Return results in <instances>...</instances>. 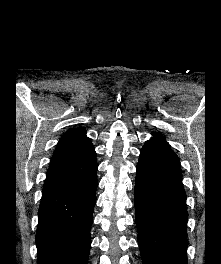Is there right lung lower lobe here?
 Returning a JSON list of instances; mask_svg holds the SVG:
<instances>
[{
	"label": "right lung lower lobe",
	"mask_w": 221,
	"mask_h": 264,
	"mask_svg": "<svg viewBox=\"0 0 221 264\" xmlns=\"http://www.w3.org/2000/svg\"><path fill=\"white\" fill-rule=\"evenodd\" d=\"M97 168L95 152L50 165L38 211V264H87Z\"/></svg>",
	"instance_id": "obj_1"
}]
</instances>
